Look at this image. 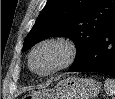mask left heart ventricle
<instances>
[{
    "instance_id": "b2bd125f",
    "label": "left heart ventricle",
    "mask_w": 115,
    "mask_h": 99,
    "mask_svg": "<svg viewBox=\"0 0 115 99\" xmlns=\"http://www.w3.org/2000/svg\"><path fill=\"white\" fill-rule=\"evenodd\" d=\"M65 52L58 45L40 48L33 57V66L37 71L46 72L58 66L64 59Z\"/></svg>"
}]
</instances>
